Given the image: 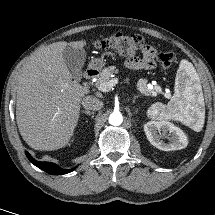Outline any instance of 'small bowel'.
<instances>
[{
    "label": "small bowel",
    "mask_w": 215,
    "mask_h": 215,
    "mask_svg": "<svg viewBox=\"0 0 215 215\" xmlns=\"http://www.w3.org/2000/svg\"><path fill=\"white\" fill-rule=\"evenodd\" d=\"M155 50L151 46L143 49L142 57L130 58L126 61V66L133 70H148L155 67Z\"/></svg>",
    "instance_id": "obj_1"
}]
</instances>
